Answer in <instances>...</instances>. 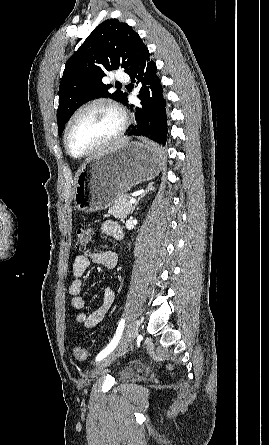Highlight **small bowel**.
Instances as JSON below:
<instances>
[{
	"mask_svg": "<svg viewBox=\"0 0 269 445\" xmlns=\"http://www.w3.org/2000/svg\"><path fill=\"white\" fill-rule=\"evenodd\" d=\"M101 229L104 234L116 240L121 239L123 236L120 225L114 221L103 222ZM90 262L101 264L108 269H114L117 266L118 257L112 251L87 250L77 255L74 259L72 266L73 280L68 288L71 296L70 303L74 309L79 311L76 315V321L82 323L87 328H92L102 322L115 300L113 289L106 287L103 289L102 305L93 311L87 309L86 302L81 293L84 286V275Z\"/></svg>",
	"mask_w": 269,
	"mask_h": 445,
	"instance_id": "obj_1",
	"label": "small bowel"
}]
</instances>
